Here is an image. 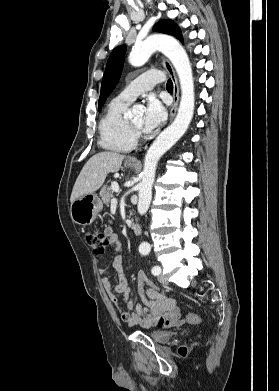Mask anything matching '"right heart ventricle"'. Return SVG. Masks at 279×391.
Segmentation results:
<instances>
[{
    "instance_id": "right-heart-ventricle-1",
    "label": "right heart ventricle",
    "mask_w": 279,
    "mask_h": 391,
    "mask_svg": "<svg viewBox=\"0 0 279 391\" xmlns=\"http://www.w3.org/2000/svg\"><path fill=\"white\" fill-rule=\"evenodd\" d=\"M130 102L113 98L99 122V143L102 148L114 152H128L137 144V137L131 130L126 111Z\"/></svg>"
}]
</instances>
